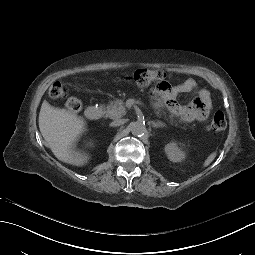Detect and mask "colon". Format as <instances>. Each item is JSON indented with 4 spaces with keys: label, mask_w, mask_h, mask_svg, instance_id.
<instances>
[{
    "label": "colon",
    "mask_w": 255,
    "mask_h": 255,
    "mask_svg": "<svg viewBox=\"0 0 255 255\" xmlns=\"http://www.w3.org/2000/svg\"><path fill=\"white\" fill-rule=\"evenodd\" d=\"M167 75L163 71L138 69L131 76L130 80L139 87H145L151 83H156V88L163 90L167 85ZM66 95L65 87L59 83H53L49 88V96L53 99L61 98ZM65 107L70 112H79L82 108L81 101L76 97L66 100ZM227 121L222 111H216L212 117L209 129L214 132L225 130Z\"/></svg>",
    "instance_id": "obj_1"
}]
</instances>
